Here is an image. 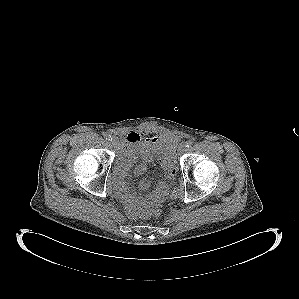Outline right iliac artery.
<instances>
[{
  "instance_id": "obj_1",
  "label": "right iliac artery",
  "mask_w": 299,
  "mask_h": 299,
  "mask_svg": "<svg viewBox=\"0 0 299 299\" xmlns=\"http://www.w3.org/2000/svg\"><path fill=\"white\" fill-rule=\"evenodd\" d=\"M103 136L106 138V140L110 141L111 135L108 134L107 132L103 134Z\"/></svg>"
}]
</instances>
